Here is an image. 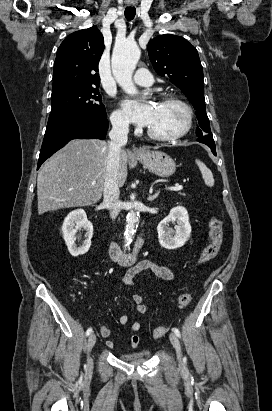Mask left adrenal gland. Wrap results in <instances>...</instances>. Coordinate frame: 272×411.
I'll return each mask as SVG.
<instances>
[{
	"label": "left adrenal gland",
	"instance_id": "a2214340",
	"mask_svg": "<svg viewBox=\"0 0 272 411\" xmlns=\"http://www.w3.org/2000/svg\"><path fill=\"white\" fill-rule=\"evenodd\" d=\"M159 195V191H157L154 195L149 196L148 200L149 201H154Z\"/></svg>",
	"mask_w": 272,
	"mask_h": 411
}]
</instances>
